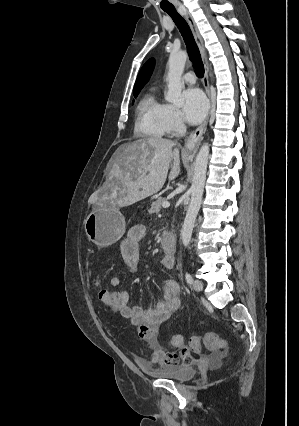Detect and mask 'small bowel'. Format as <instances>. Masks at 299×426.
Returning <instances> with one entry per match:
<instances>
[{"mask_svg":"<svg viewBox=\"0 0 299 426\" xmlns=\"http://www.w3.org/2000/svg\"><path fill=\"white\" fill-rule=\"evenodd\" d=\"M142 225L132 227L126 238L121 243V255L125 264L136 272L139 263V242L145 235ZM166 269L174 267V258L164 255L160 261ZM111 287L120 285L118 276L111 277ZM180 288L176 281L167 280L163 285L162 299L153 307L130 306L127 291H120V304L116 310L136 328L140 338L146 341L153 350L152 361L160 366H172L177 364L189 365L195 360L187 350L179 353L165 352L158 341L160 325L166 321L180 306Z\"/></svg>","mask_w":299,"mask_h":426,"instance_id":"small-bowel-1","label":"small bowel"}]
</instances>
